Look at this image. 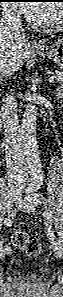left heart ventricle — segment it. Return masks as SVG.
Listing matches in <instances>:
<instances>
[{
	"mask_svg": "<svg viewBox=\"0 0 63 297\" xmlns=\"http://www.w3.org/2000/svg\"><path fill=\"white\" fill-rule=\"evenodd\" d=\"M59 19V10L55 5H46L42 17L38 20L43 24H54Z\"/></svg>",
	"mask_w": 63,
	"mask_h": 297,
	"instance_id": "left-heart-ventricle-1",
	"label": "left heart ventricle"
}]
</instances>
